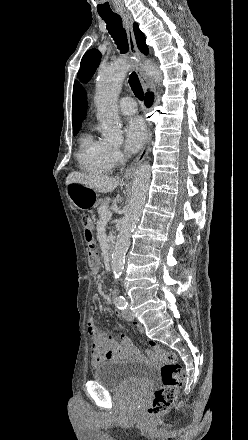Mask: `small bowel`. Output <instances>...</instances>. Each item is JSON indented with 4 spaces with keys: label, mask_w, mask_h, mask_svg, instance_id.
Segmentation results:
<instances>
[{
    "label": "small bowel",
    "mask_w": 248,
    "mask_h": 440,
    "mask_svg": "<svg viewBox=\"0 0 248 440\" xmlns=\"http://www.w3.org/2000/svg\"><path fill=\"white\" fill-rule=\"evenodd\" d=\"M117 314L120 315L119 313ZM134 324L139 332H143L141 325ZM87 332L91 337L92 365L94 367H97L103 362L117 360L122 357L139 356L138 350L128 336L124 334L119 336L106 334L99 328L94 318L89 319ZM146 345L147 347H152L157 353H160V348L156 346V338H147Z\"/></svg>",
    "instance_id": "c3829d8e"
}]
</instances>
